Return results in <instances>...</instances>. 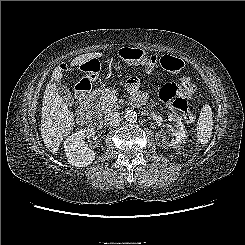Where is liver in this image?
<instances>
[{
  "mask_svg": "<svg viewBox=\"0 0 245 245\" xmlns=\"http://www.w3.org/2000/svg\"><path fill=\"white\" fill-rule=\"evenodd\" d=\"M100 52L85 53L74 58L70 66H81L94 58L102 57ZM63 69L58 65L54 68L50 82L43 96L40 131L46 148L56 154L63 138L67 137L75 127L74 113L68 109L53 81L60 82Z\"/></svg>",
  "mask_w": 245,
  "mask_h": 245,
  "instance_id": "liver-1",
  "label": "liver"
}]
</instances>
